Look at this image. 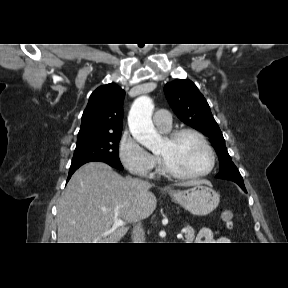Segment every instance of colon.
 <instances>
[{
    "label": "colon",
    "instance_id": "1",
    "mask_svg": "<svg viewBox=\"0 0 288 288\" xmlns=\"http://www.w3.org/2000/svg\"><path fill=\"white\" fill-rule=\"evenodd\" d=\"M220 218L224 222L227 229H231L233 227L234 214L231 210L229 209L221 210Z\"/></svg>",
    "mask_w": 288,
    "mask_h": 288
}]
</instances>
